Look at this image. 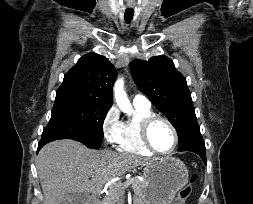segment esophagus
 <instances>
[{
	"label": "esophagus",
	"instance_id": "obj_1",
	"mask_svg": "<svg viewBox=\"0 0 253 204\" xmlns=\"http://www.w3.org/2000/svg\"><path fill=\"white\" fill-rule=\"evenodd\" d=\"M127 6L131 8V7H133V4L128 3Z\"/></svg>",
	"mask_w": 253,
	"mask_h": 204
}]
</instances>
